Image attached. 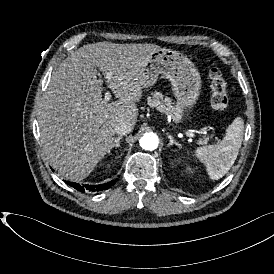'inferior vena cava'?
I'll list each match as a JSON object with an SVG mask.
<instances>
[{
  "label": "inferior vena cava",
  "mask_w": 274,
  "mask_h": 274,
  "mask_svg": "<svg viewBox=\"0 0 274 274\" xmlns=\"http://www.w3.org/2000/svg\"><path fill=\"white\" fill-rule=\"evenodd\" d=\"M134 125L130 121H121L115 125L114 131L117 135H125L133 129Z\"/></svg>",
  "instance_id": "1"
}]
</instances>
